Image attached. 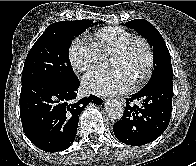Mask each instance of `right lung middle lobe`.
I'll use <instances>...</instances> for the list:
<instances>
[{
    "label": "right lung middle lobe",
    "instance_id": "obj_1",
    "mask_svg": "<svg viewBox=\"0 0 196 166\" xmlns=\"http://www.w3.org/2000/svg\"><path fill=\"white\" fill-rule=\"evenodd\" d=\"M92 24L96 23L76 20L48 26L26 57L21 81L44 79L69 84L77 80L68 59V47L74 37Z\"/></svg>",
    "mask_w": 196,
    "mask_h": 166
}]
</instances>
